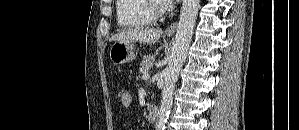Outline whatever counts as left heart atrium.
<instances>
[{"label": "left heart atrium", "mask_w": 299, "mask_h": 130, "mask_svg": "<svg viewBox=\"0 0 299 130\" xmlns=\"http://www.w3.org/2000/svg\"><path fill=\"white\" fill-rule=\"evenodd\" d=\"M166 2H167V3H170L171 1H170V0H167Z\"/></svg>", "instance_id": "obj_1"}]
</instances>
